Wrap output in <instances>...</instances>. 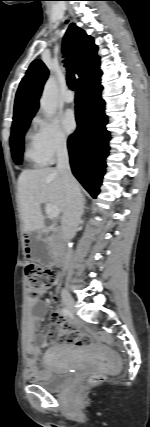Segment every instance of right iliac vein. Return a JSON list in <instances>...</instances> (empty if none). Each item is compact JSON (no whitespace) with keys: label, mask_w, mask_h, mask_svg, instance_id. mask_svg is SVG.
Instances as JSON below:
<instances>
[{"label":"right iliac vein","mask_w":150,"mask_h":427,"mask_svg":"<svg viewBox=\"0 0 150 427\" xmlns=\"http://www.w3.org/2000/svg\"><path fill=\"white\" fill-rule=\"evenodd\" d=\"M62 301L69 311L71 312L75 311V301L69 293L67 292L62 293Z\"/></svg>","instance_id":"1"}]
</instances>
